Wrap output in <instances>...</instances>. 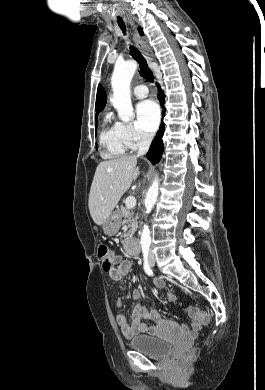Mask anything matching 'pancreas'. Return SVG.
<instances>
[{"instance_id":"pancreas-1","label":"pancreas","mask_w":265,"mask_h":390,"mask_svg":"<svg viewBox=\"0 0 265 390\" xmlns=\"http://www.w3.org/2000/svg\"><path fill=\"white\" fill-rule=\"evenodd\" d=\"M120 215L123 217L122 223L130 222L129 230L124 233V241L125 243L129 238H132L134 233L137 231L138 221L137 217H134V212L131 208L121 207Z\"/></svg>"}]
</instances>
